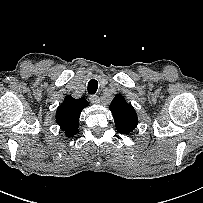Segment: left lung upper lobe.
I'll return each mask as SVG.
<instances>
[{"instance_id":"5c2ea615","label":"left lung upper lobe","mask_w":203,"mask_h":203,"mask_svg":"<svg viewBox=\"0 0 203 203\" xmlns=\"http://www.w3.org/2000/svg\"><path fill=\"white\" fill-rule=\"evenodd\" d=\"M115 126L121 134L131 133L138 124L137 114L131 104L121 94L115 96L110 105Z\"/></svg>"}]
</instances>
